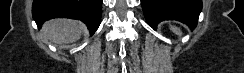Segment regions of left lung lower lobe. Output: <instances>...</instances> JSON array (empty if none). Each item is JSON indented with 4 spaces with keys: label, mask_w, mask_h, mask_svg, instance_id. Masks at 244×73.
<instances>
[{
    "label": "left lung lower lobe",
    "mask_w": 244,
    "mask_h": 73,
    "mask_svg": "<svg viewBox=\"0 0 244 73\" xmlns=\"http://www.w3.org/2000/svg\"><path fill=\"white\" fill-rule=\"evenodd\" d=\"M144 16L151 27L163 20H177L192 29L202 9L201 0H141Z\"/></svg>",
    "instance_id": "0a47b994"
}]
</instances>
